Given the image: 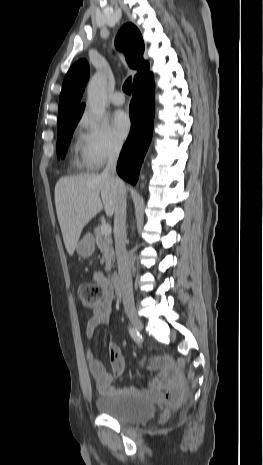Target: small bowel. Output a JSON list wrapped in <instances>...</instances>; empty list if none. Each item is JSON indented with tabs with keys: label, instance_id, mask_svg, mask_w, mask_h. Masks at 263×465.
Here are the masks:
<instances>
[{
	"label": "small bowel",
	"instance_id": "1",
	"mask_svg": "<svg viewBox=\"0 0 263 465\" xmlns=\"http://www.w3.org/2000/svg\"><path fill=\"white\" fill-rule=\"evenodd\" d=\"M94 279L97 285L103 288L104 296L101 302L91 309L92 316L86 325L88 339L94 337L96 329L108 322L112 314L113 290L109 280L101 273H95ZM109 358L112 372L106 370L103 362L94 355L91 348L88 349V368L97 391L101 395L135 392V388L118 389L113 386L114 379L123 375L125 371V360L116 344L109 345ZM147 368L151 371H158L157 376L146 390L147 396L157 402H179L184 394L185 386L172 360L168 357H154L149 361Z\"/></svg>",
	"mask_w": 263,
	"mask_h": 465
}]
</instances>
